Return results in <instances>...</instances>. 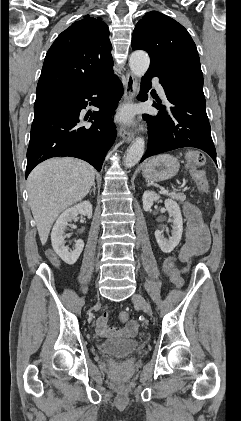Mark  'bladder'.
Here are the masks:
<instances>
[{
  "label": "bladder",
  "mask_w": 241,
  "mask_h": 421,
  "mask_svg": "<svg viewBox=\"0 0 241 421\" xmlns=\"http://www.w3.org/2000/svg\"><path fill=\"white\" fill-rule=\"evenodd\" d=\"M100 347L103 353L118 358L130 356L140 350V344L133 339L107 340Z\"/></svg>",
  "instance_id": "31cf9c89"
}]
</instances>
